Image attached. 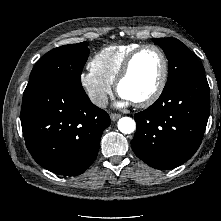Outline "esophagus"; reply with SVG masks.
<instances>
[{"mask_svg": "<svg viewBox=\"0 0 221 221\" xmlns=\"http://www.w3.org/2000/svg\"><path fill=\"white\" fill-rule=\"evenodd\" d=\"M121 117L120 114H117V113H111L110 114V118L112 121H116L117 119H119Z\"/></svg>", "mask_w": 221, "mask_h": 221, "instance_id": "obj_1", "label": "esophagus"}]
</instances>
